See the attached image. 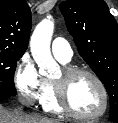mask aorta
Here are the masks:
<instances>
[{"instance_id":"aorta-1","label":"aorta","mask_w":118,"mask_h":123,"mask_svg":"<svg viewBox=\"0 0 118 123\" xmlns=\"http://www.w3.org/2000/svg\"><path fill=\"white\" fill-rule=\"evenodd\" d=\"M53 31L54 22L50 18H46L36 26L31 36V53L39 67V73L44 76L49 75L57 67L50 50Z\"/></svg>"}]
</instances>
